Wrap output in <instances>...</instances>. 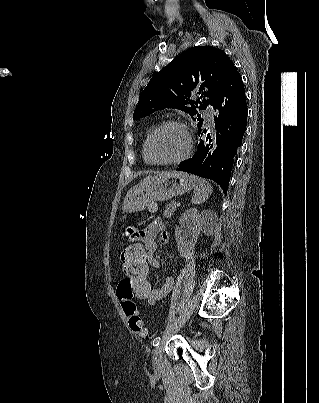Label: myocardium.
<instances>
[{"label":"myocardium","instance_id":"obj_1","mask_svg":"<svg viewBox=\"0 0 319 403\" xmlns=\"http://www.w3.org/2000/svg\"><path fill=\"white\" fill-rule=\"evenodd\" d=\"M166 126H177V127L181 128L184 131L185 136H186V140H187L186 148H185V151L183 152V154L180 155L179 157L175 158V159L157 160L152 156L151 144H152L153 138L155 137L157 132L160 131L162 128L166 127ZM193 145H194L193 136L191 134V131H190L189 127L184 122H182L180 120L169 119V120H165V121L161 122L160 124H158L156 127H154L151 130V132L149 133V135H148V137L146 139L145 152H146L147 159L152 164L173 165V164H179V163L184 162L185 160H187L192 154Z\"/></svg>","mask_w":319,"mask_h":403}]
</instances>
